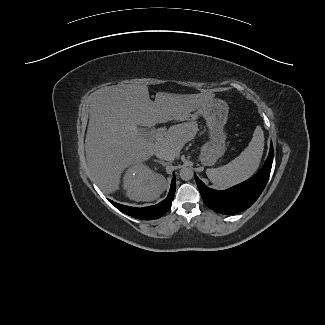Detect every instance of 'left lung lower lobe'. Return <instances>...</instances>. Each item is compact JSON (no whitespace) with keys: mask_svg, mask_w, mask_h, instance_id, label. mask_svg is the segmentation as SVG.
I'll return each instance as SVG.
<instances>
[{"mask_svg":"<svg viewBox=\"0 0 325 325\" xmlns=\"http://www.w3.org/2000/svg\"><path fill=\"white\" fill-rule=\"evenodd\" d=\"M273 162V145L262 168L250 179L227 190L208 188L195 174V180L205 204L214 211L231 215L249 208L260 196L269 179Z\"/></svg>","mask_w":325,"mask_h":325,"instance_id":"0a47b994","label":"left lung lower lobe"}]
</instances>
